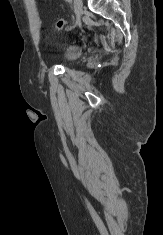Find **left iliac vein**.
I'll return each instance as SVG.
<instances>
[{
    "instance_id": "obj_1",
    "label": "left iliac vein",
    "mask_w": 163,
    "mask_h": 235,
    "mask_svg": "<svg viewBox=\"0 0 163 235\" xmlns=\"http://www.w3.org/2000/svg\"><path fill=\"white\" fill-rule=\"evenodd\" d=\"M73 5H74L76 18H77V23H79L81 16L83 14V2L82 0H74Z\"/></svg>"
}]
</instances>
